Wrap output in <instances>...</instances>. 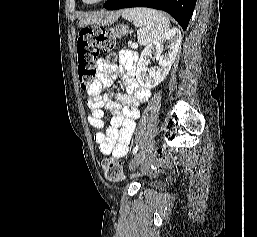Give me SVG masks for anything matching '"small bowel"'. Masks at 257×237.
<instances>
[{"instance_id":"small-bowel-1","label":"small bowel","mask_w":257,"mask_h":237,"mask_svg":"<svg viewBox=\"0 0 257 237\" xmlns=\"http://www.w3.org/2000/svg\"><path fill=\"white\" fill-rule=\"evenodd\" d=\"M136 61V54L132 51H124L120 56L125 94H102V90L108 89L117 76V66L105 59L98 60L99 74L86 91L90 110L88 122L96 129L94 140L102 154L117 159L128 154L139 117V106L150 97V91L141 87L134 78ZM104 110L112 115L107 127L103 119Z\"/></svg>"}]
</instances>
